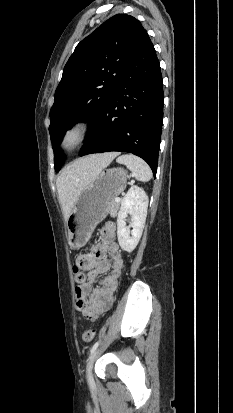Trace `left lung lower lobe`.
Returning a JSON list of instances; mask_svg holds the SVG:
<instances>
[{
  "instance_id": "obj_1",
  "label": "left lung lower lobe",
  "mask_w": 233,
  "mask_h": 413,
  "mask_svg": "<svg viewBox=\"0 0 233 413\" xmlns=\"http://www.w3.org/2000/svg\"><path fill=\"white\" fill-rule=\"evenodd\" d=\"M163 102L160 64L146 33L79 155L109 151L132 153L144 159L155 176Z\"/></svg>"
}]
</instances>
